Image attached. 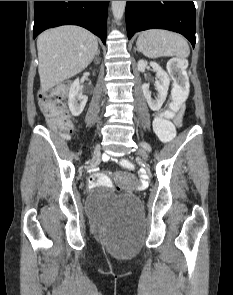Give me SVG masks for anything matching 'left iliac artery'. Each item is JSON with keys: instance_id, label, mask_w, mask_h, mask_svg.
<instances>
[{"instance_id": "1", "label": "left iliac artery", "mask_w": 233, "mask_h": 295, "mask_svg": "<svg viewBox=\"0 0 233 295\" xmlns=\"http://www.w3.org/2000/svg\"><path fill=\"white\" fill-rule=\"evenodd\" d=\"M146 150L150 151V146L149 145H146L145 143L142 145Z\"/></svg>"}]
</instances>
